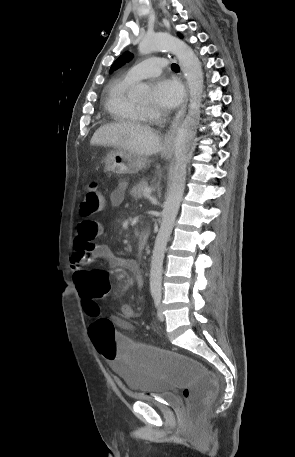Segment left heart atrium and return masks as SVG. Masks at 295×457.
Wrapping results in <instances>:
<instances>
[{
    "instance_id": "39dd6f15",
    "label": "left heart atrium",
    "mask_w": 295,
    "mask_h": 457,
    "mask_svg": "<svg viewBox=\"0 0 295 457\" xmlns=\"http://www.w3.org/2000/svg\"><path fill=\"white\" fill-rule=\"evenodd\" d=\"M183 97L182 88L173 79H161L154 89V102L164 110H170L179 105Z\"/></svg>"
}]
</instances>
